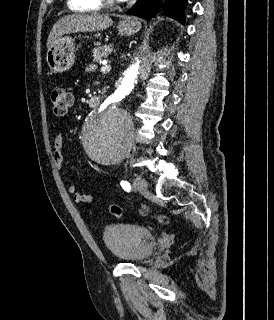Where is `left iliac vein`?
Returning a JSON list of instances; mask_svg holds the SVG:
<instances>
[{"mask_svg": "<svg viewBox=\"0 0 274 320\" xmlns=\"http://www.w3.org/2000/svg\"><path fill=\"white\" fill-rule=\"evenodd\" d=\"M133 185L140 192H146L148 189V184H147L146 180L141 177L134 178Z\"/></svg>", "mask_w": 274, "mask_h": 320, "instance_id": "left-iliac-vein-1", "label": "left iliac vein"}]
</instances>
